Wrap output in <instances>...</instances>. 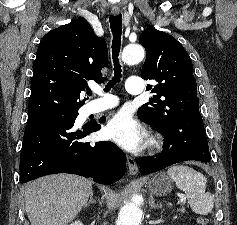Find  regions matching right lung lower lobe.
Masks as SVG:
<instances>
[{
	"label": "right lung lower lobe",
	"instance_id": "obj_1",
	"mask_svg": "<svg viewBox=\"0 0 237 225\" xmlns=\"http://www.w3.org/2000/svg\"><path fill=\"white\" fill-rule=\"evenodd\" d=\"M77 116L78 112L28 118L20 155L21 183L55 173L91 177L105 185L123 177L125 154L112 142H79L98 131L100 124L94 121L75 130Z\"/></svg>",
	"mask_w": 237,
	"mask_h": 225
}]
</instances>
